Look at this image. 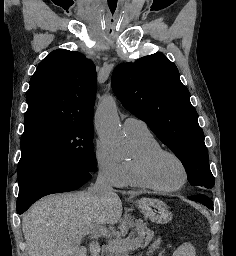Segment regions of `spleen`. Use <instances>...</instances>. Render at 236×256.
<instances>
[{
    "label": "spleen",
    "mask_w": 236,
    "mask_h": 256,
    "mask_svg": "<svg viewBox=\"0 0 236 256\" xmlns=\"http://www.w3.org/2000/svg\"><path fill=\"white\" fill-rule=\"evenodd\" d=\"M173 256H196L195 248L192 244L185 242V244H182V246L176 250Z\"/></svg>",
    "instance_id": "spleen-1"
}]
</instances>
